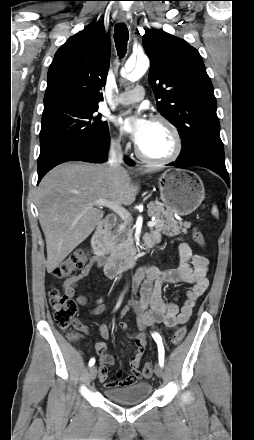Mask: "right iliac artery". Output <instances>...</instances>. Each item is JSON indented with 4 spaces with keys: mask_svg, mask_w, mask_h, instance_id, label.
Segmentation results:
<instances>
[{
    "mask_svg": "<svg viewBox=\"0 0 254 440\" xmlns=\"http://www.w3.org/2000/svg\"><path fill=\"white\" fill-rule=\"evenodd\" d=\"M119 304H120V302L118 303L117 307L119 306ZM94 363H95V359L91 358L90 361H89V366H93Z\"/></svg>",
    "mask_w": 254,
    "mask_h": 440,
    "instance_id": "right-iliac-artery-1",
    "label": "right iliac artery"
}]
</instances>
